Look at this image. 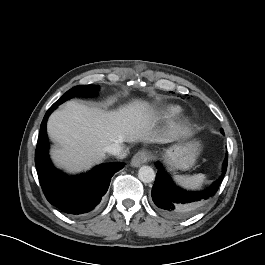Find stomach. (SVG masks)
I'll list each match as a JSON object with an SVG mask.
<instances>
[{
	"label": "stomach",
	"mask_w": 265,
	"mask_h": 265,
	"mask_svg": "<svg viewBox=\"0 0 265 265\" xmlns=\"http://www.w3.org/2000/svg\"><path fill=\"white\" fill-rule=\"evenodd\" d=\"M200 149L198 141L173 145L165 153V163L170 170H190L196 163Z\"/></svg>",
	"instance_id": "stomach-1"
}]
</instances>
